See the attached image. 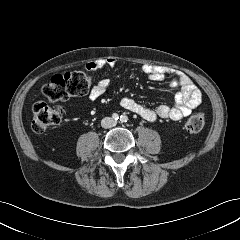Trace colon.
Segmentation results:
<instances>
[{
    "label": "colon",
    "mask_w": 240,
    "mask_h": 240,
    "mask_svg": "<svg viewBox=\"0 0 240 240\" xmlns=\"http://www.w3.org/2000/svg\"><path fill=\"white\" fill-rule=\"evenodd\" d=\"M91 78L81 71L68 72L53 76L42 87L43 95L52 103L66 100L70 97L86 95L91 87ZM65 111L59 106H50L44 102L33 107L31 126L35 132H44L52 126L61 123ZM205 125L204 116L200 113L191 116L186 122L189 133L200 132Z\"/></svg>",
    "instance_id": "colon-1"
}]
</instances>
